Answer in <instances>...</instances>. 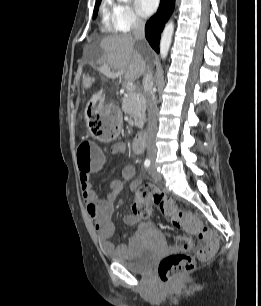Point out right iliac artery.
Returning <instances> with one entry per match:
<instances>
[{
    "instance_id": "obj_1",
    "label": "right iliac artery",
    "mask_w": 261,
    "mask_h": 306,
    "mask_svg": "<svg viewBox=\"0 0 261 306\" xmlns=\"http://www.w3.org/2000/svg\"><path fill=\"white\" fill-rule=\"evenodd\" d=\"M150 164H151L150 160H149V159H146L145 162H144V166H145L146 168H148V167L150 166Z\"/></svg>"
}]
</instances>
